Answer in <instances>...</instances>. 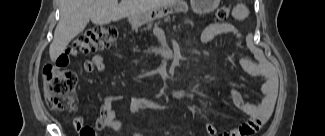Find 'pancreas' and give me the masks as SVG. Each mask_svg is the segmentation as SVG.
Here are the masks:
<instances>
[{
	"mask_svg": "<svg viewBox=\"0 0 325 136\" xmlns=\"http://www.w3.org/2000/svg\"><path fill=\"white\" fill-rule=\"evenodd\" d=\"M170 17H166V18H161V19H152L150 23H147V26L150 27H154V26H160L161 25H167V24H174L176 23V18H174V15H169ZM146 25L141 28V33H145V34H149L151 32V29L149 27H147Z\"/></svg>",
	"mask_w": 325,
	"mask_h": 136,
	"instance_id": "1",
	"label": "pancreas"
}]
</instances>
